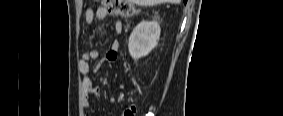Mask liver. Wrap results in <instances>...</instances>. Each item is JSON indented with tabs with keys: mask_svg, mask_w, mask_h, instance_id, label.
I'll list each match as a JSON object with an SVG mask.
<instances>
[{
	"mask_svg": "<svg viewBox=\"0 0 283 116\" xmlns=\"http://www.w3.org/2000/svg\"><path fill=\"white\" fill-rule=\"evenodd\" d=\"M134 2L138 5H145V6L151 5L152 6V5L165 3V2L177 4L180 2V0H134Z\"/></svg>",
	"mask_w": 283,
	"mask_h": 116,
	"instance_id": "1",
	"label": "liver"
}]
</instances>
